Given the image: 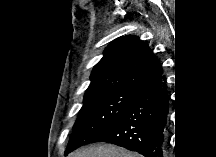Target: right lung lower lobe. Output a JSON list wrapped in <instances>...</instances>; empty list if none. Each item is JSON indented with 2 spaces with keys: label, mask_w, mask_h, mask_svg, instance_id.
<instances>
[{
  "label": "right lung lower lobe",
  "mask_w": 216,
  "mask_h": 157,
  "mask_svg": "<svg viewBox=\"0 0 216 157\" xmlns=\"http://www.w3.org/2000/svg\"><path fill=\"white\" fill-rule=\"evenodd\" d=\"M169 96L161 74L133 90L120 118L93 142H107L144 157H164Z\"/></svg>",
  "instance_id": "obj_1"
}]
</instances>
